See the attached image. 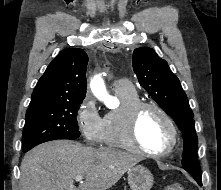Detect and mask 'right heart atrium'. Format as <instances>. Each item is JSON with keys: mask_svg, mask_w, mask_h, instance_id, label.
I'll return each instance as SVG.
<instances>
[{"mask_svg": "<svg viewBox=\"0 0 221 190\" xmlns=\"http://www.w3.org/2000/svg\"><path fill=\"white\" fill-rule=\"evenodd\" d=\"M76 124L86 143L91 145L102 143L103 118L89 96L82 100L76 111Z\"/></svg>", "mask_w": 221, "mask_h": 190, "instance_id": "obj_1", "label": "right heart atrium"}]
</instances>
